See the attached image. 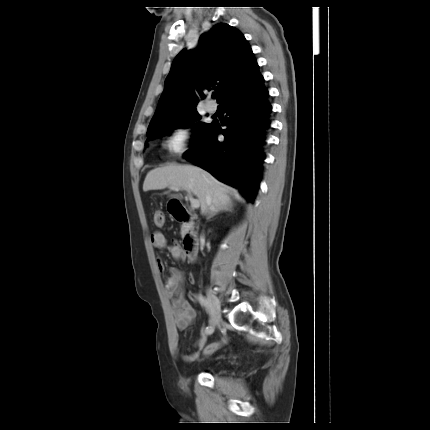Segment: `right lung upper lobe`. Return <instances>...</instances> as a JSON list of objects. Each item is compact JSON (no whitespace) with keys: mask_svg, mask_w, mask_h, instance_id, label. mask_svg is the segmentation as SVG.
Returning <instances> with one entry per match:
<instances>
[{"mask_svg":"<svg viewBox=\"0 0 430 430\" xmlns=\"http://www.w3.org/2000/svg\"><path fill=\"white\" fill-rule=\"evenodd\" d=\"M257 76L258 64L243 34L219 23L201 37L195 52L183 50L176 56L149 127L196 109L194 88L201 98L205 90H215L217 101L222 103L235 86Z\"/></svg>","mask_w":430,"mask_h":430,"instance_id":"obj_1","label":"right lung upper lobe"}]
</instances>
